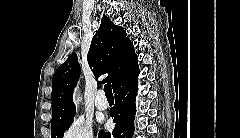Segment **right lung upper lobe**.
<instances>
[{"label":"right lung upper lobe","instance_id":"obj_1","mask_svg":"<svg viewBox=\"0 0 240 138\" xmlns=\"http://www.w3.org/2000/svg\"><path fill=\"white\" fill-rule=\"evenodd\" d=\"M87 60L96 78L109 74L103 83H112L113 90L139 74L133 43L126 37V31L107 16L102 17L100 27L92 38ZM79 76L80 65L77 55L73 53L53 75L51 126L74 118L76 108L72 94Z\"/></svg>","mask_w":240,"mask_h":138}]
</instances>
